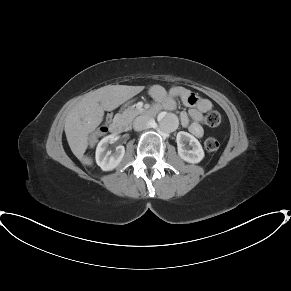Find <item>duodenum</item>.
<instances>
[{
	"instance_id": "1",
	"label": "duodenum",
	"mask_w": 291,
	"mask_h": 291,
	"mask_svg": "<svg viewBox=\"0 0 291 291\" xmlns=\"http://www.w3.org/2000/svg\"><path fill=\"white\" fill-rule=\"evenodd\" d=\"M158 112V108L156 106H152L149 109L145 110L144 114L148 116H154ZM126 124L122 119H116L110 124V131L113 134H121L125 132Z\"/></svg>"
}]
</instances>
